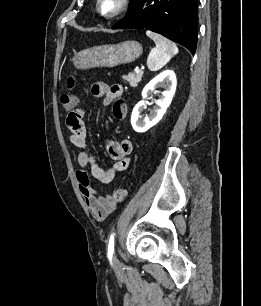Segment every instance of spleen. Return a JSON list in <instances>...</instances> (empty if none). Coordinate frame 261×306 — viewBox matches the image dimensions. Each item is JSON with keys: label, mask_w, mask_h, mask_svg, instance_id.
I'll return each mask as SVG.
<instances>
[{"label": "spleen", "mask_w": 261, "mask_h": 306, "mask_svg": "<svg viewBox=\"0 0 261 306\" xmlns=\"http://www.w3.org/2000/svg\"><path fill=\"white\" fill-rule=\"evenodd\" d=\"M146 35L150 37L156 45L149 53L147 66L151 71H158L178 53V48L175 43L155 32L147 30Z\"/></svg>", "instance_id": "3e777b00"}]
</instances>
